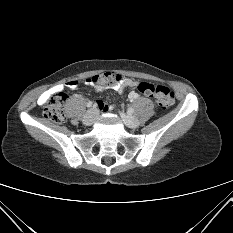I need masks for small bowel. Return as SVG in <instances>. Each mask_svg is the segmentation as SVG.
<instances>
[{
  "instance_id": "small-bowel-1",
  "label": "small bowel",
  "mask_w": 233,
  "mask_h": 233,
  "mask_svg": "<svg viewBox=\"0 0 233 233\" xmlns=\"http://www.w3.org/2000/svg\"><path fill=\"white\" fill-rule=\"evenodd\" d=\"M114 80L118 81L119 79L118 78H115L114 75H110ZM84 84L87 86V87H90L92 84H93V81L90 79V78H87L85 81H84ZM137 84L134 83L132 80L130 79H122L118 84L114 85L112 88L113 90L121 93L124 91L125 88L129 87V86H134ZM78 86V83L76 81H71V82H68L66 84H63V85H60V86H57V87H54L48 91H45L43 92L39 98H38V104L39 105H44L46 104V102L48 101L50 95L52 93H55L59 90H62L63 88L67 87L69 89H75L77 88ZM96 90H101L100 87H95ZM129 99L131 101L135 100L137 97H138V93L136 91H131L128 95ZM98 107L101 109V110H107L108 107H106L102 102H98ZM109 109H113V106L109 107Z\"/></svg>"
}]
</instances>
